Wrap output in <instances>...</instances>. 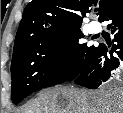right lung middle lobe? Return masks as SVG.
Segmentation results:
<instances>
[{
	"label": "right lung middle lobe",
	"mask_w": 123,
	"mask_h": 113,
	"mask_svg": "<svg viewBox=\"0 0 123 113\" xmlns=\"http://www.w3.org/2000/svg\"><path fill=\"white\" fill-rule=\"evenodd\" d=\"M82 38L78 28L15 47L11 63L13 103L39 89L75 79L95 49L81 43Z\"/></svg>",
	"instance_id": "obj_1"
}]
</instances>
